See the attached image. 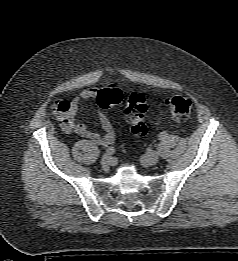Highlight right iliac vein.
Listing matches in <instances>:
<instances>
[{
    "mask_svg": "<svg viewBox=\"0 0 238 261\" xmlns=\"http://www.w3.org/2000/svg\"><path fill=\"white\" fill-rule=\"evenodd\" d=\"M101 162L103 165H107L111 162V156L109 154H104L102 156Z\"/></svg>",
    "mask_w": 238,
    "mask_h": 261,
    "instance_id": "right-iliac-vein-1",
    "label": "right iliac vein"
}]
</instances>
